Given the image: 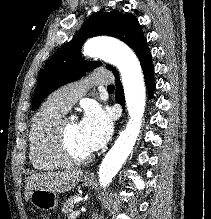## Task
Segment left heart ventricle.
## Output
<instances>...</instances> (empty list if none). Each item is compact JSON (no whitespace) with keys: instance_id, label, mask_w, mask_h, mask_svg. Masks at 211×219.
<instances>
[{"instance_id":"left-heart-ventricle-1","label":"left heart ventricle","mask_w":211,"mask_h":219,"mask_svg":"<svg viewBox=\"0 0 211 219\" xmlns=\"http://www.w3.org/2000/svg\"><path fill=\"white\" fill-rule=\"evenodd\" d=\"M67 126V136L72 151L80 156L90 153L82 141L79 122L73 119H68Z\"/></svg>"}]
</instances>
